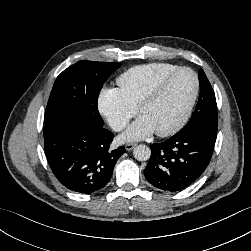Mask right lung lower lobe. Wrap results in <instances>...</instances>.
Instances as JSON below:
<instances>
[{
  "label": "right lung lower lobe",
  "instance_id": "obj_1",
  "mask_svg": "<svg viewBox=\"0 0 251 251\" xmlns=\"http://www.w3.org/2000/svg\"><path fill=\"white\" fill-rule=\"evenodd\" d=\"M114 135L81 116L70 115L45 123L44 149L58 181L82 194L95 193L109 182L125 148L110 149Z\"/></svg>",
  "mask_w": 251,
  "mask_h": 251
}]
</instances>
